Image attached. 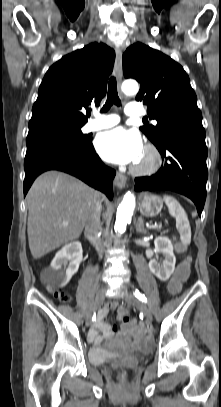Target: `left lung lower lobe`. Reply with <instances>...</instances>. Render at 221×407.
Here are the masks:
<instances>
[{"label": "left lung lower lobe", "mask_w": 221, "mask_h": 407, "mask_svg": "<svg viewBox=\"0 0 221 407\" xmlns=\"http://www.w3.org/2000/svg\"><path fill=\"white\" fill-rule=\"evenodd\" d=\"M154 145L165 160L164 165L155 175L136 178L135 190L176 191L189 197L201 216L208 177L206 165L208 151L203 126L193 124L172 126Z\"/></svg>", "instance_id": "obj_1"}]
</instances>
